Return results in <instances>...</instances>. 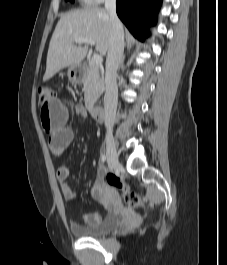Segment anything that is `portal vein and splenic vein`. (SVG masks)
Wrapping results in <instances>:
<instances>
[{"mask_svg": "<svg viewBox=\"0 0 227 265\" xmlns=\"http://www.w3.org/2000/svg\"><path fill=\"white\" fill-rule=\"evenodd\" d=\"M75 43L77 44H89V45H95V40L94 39H91V38H76L75 39ZM102 56L99 55V54H94L93 57H92V62L95 64V65H101L102 64Z\"/></svg>", "mask_w": 227, "mask_h": 265, "instance_id": "obj_1", "label": "portal vein and splenic vein"}]
</instances>
